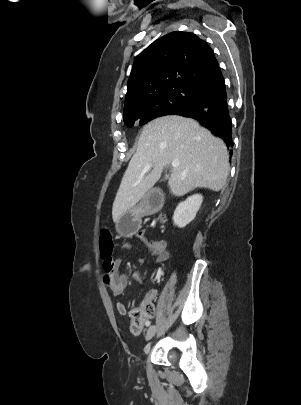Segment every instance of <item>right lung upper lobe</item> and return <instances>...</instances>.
<instances>
[{
  "mask_svg": "<svg viewBox=\"0 0 301 405\" xmlns=\"http://www.w3.org/2000/svg\"><path fill=\"white\" fill-rule=\"evenodd\" d=\"M224 82L210 46L190 32H171L137 58L127 84L124 112L151 95L176 88L208 93Z\"/></svg>",
  "mask_w": 301,
  "mask_h": 405,
  "instance_id": "right-lung-upper-lobe-1",
  "label": "right lung upper lobe"
}]
</instances>
